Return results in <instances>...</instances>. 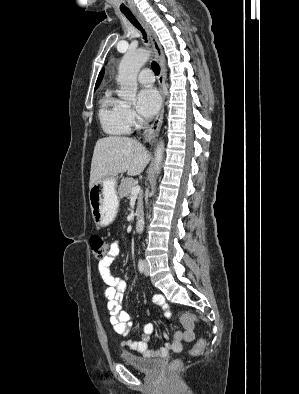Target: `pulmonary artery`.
Returning a JSON list of instances; mask_svg holds the SVG:
<instances>
[{
  "mask_svg": "<svg viewBox=\"0 0 299 394\" xmlns=\"http://www.w3.org/2000/svg\"><path fill=\"white\" fill-rule=\"evenodd\" d=\"M138 81L144 85H151L154 82V75L150 69H143L138 75Z\"/></svg>",
  "mask_w": 299,
  "mask_h": 394,
  "instance_id": "e3ab8cb5",
  "label": "pulmonary artery"
}]
</instances>
